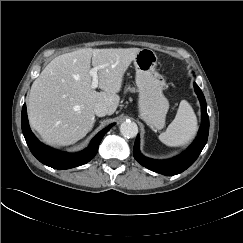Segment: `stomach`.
<instances>
[{
	"mask_svg": "<svg viewBox=\"0 0 243 243\" xmlns=\"http://www.w3.org/2000/svg\"><path fill=\"white\" fill-rule=\"evenodd\" d=\"M133 62L139 92L140 117L153 130H160L165 124L169 102L163 95L165 80L156 71L157 55L153 50L144 48L139 51Z\"/></svg>",
	"mask_w": 243,
	"mask_h": 243,
	"instance_id": "obj_1",
	"label": "stomach"
}]
</instances>
